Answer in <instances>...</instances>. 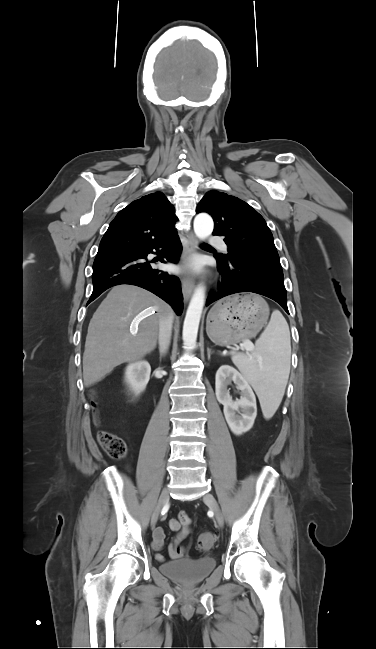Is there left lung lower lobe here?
Masks as SVG:
<instances>
[{
	"label": "left lung lower lobe",
	"instance_id": "0a47b994",
	"mask_svg": "<svg viewBox=\"0 0 376 649\" xmlns=\"http://www.w3.org/2000/svg\"><path fill=\"white\" fill-rule=\"evenodd\" d=\"M215 258L222 281L208 296L206 305L234 293L253 292L273 299L289 314L281 270L258 261Z\"/></svg>",
	"mask_w": 376,
	"mask_h": 649
}]
</instances>
